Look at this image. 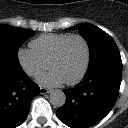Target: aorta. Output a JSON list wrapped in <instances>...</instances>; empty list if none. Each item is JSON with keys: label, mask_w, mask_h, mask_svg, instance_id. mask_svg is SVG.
Here are the masks:
<instances>
[{"label": "aorta", "mask_w": 128, "mask_h": 128, "mask_svg": "<svg viewBox=\"0 0 128 128\" xmlns=\"http://www.w3.org/2000/svg\"><path fill=\"white\" fill-rule=\"evenodd\" d=\"M66 96L62 90L55 89L50 93V103L54 107H62L65 104Z\"/></svg>", "instance_id": "obj_1"}]
</instances>
